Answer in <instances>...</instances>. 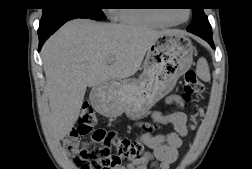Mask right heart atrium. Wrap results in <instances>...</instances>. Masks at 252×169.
<instances>
[{"label":"right heart atrium","instance_id":"1","mask_svg":"<svg viewBox=\"0 0 252 169\" xmlns=\"http://www.w3.org/2000/svg\"><path fill=\"white\" fill-rule=\"evenodd\" d=\"M113 12H114V10H110V11H109V15H110L111 17H115V15H114Z\"/></svg>","mask_w":252,"mask_h":169}]
</instances>
